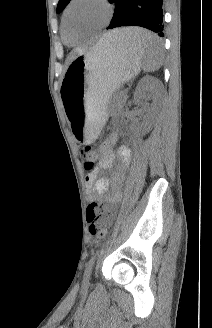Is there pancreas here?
I'll use <instances>...</instances> for the list:
<instances>
[{
	"instance_id": "obj_1",
	"label": "pancreas",
	"mask_w": 212,
	"mask_h": 328,
	"mask_svg": "<svg viewBox=\"0 0 212 328\" xmlns=\"http://www.w3.org/2000/svg\"><path fill=\"white\" fill-rule=\"evenodd\" d=\"M125 101V97L123 94H120L114 101H113V106L114 107H121L122 104Z\"/></svg>"
}]
</instances>
